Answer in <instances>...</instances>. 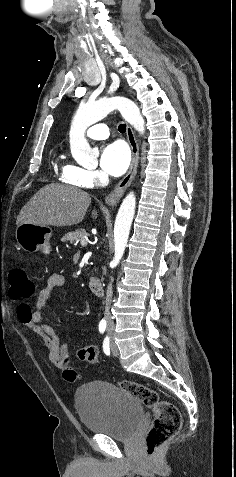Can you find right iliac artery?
I'll return each instance as SVG.
<instances>
[{"label": "right iliac artery", "mask_w": 236, "mask_h": 477, "mask_svg": "<svg viewBox=\"0 0 236 477\" xmlns=\"http://www.w3.org/2000/svg\"><path fill=\"white\" fill-rule=\"evenodd\" d=\"M105 330H106V322H105V321H101V322L99 323V332L103 334V333L105 332Z\"/></svg>", "instance_id": "1"}]
</instances>
